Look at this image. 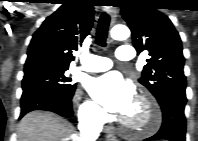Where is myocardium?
Masks as SVG:
<instances>
[{
	"instance_id": "f54148a6",
	"label": "myocardium",
	"mask_w": 198,
	"mask_h": 141,
	"mask_svg": "<svg viewBox=\"0 0 198 141\" xmlns=\"http://www.w3.org/2000/svg\"><path fill=\"white\" fill-rule=\"evenodd\" d=\"M136 103L144 108L145 122L134 124L128 118H121L120 122L124 128L135 133H148L156 130L160 123V113L155 102L146 95L138 96Z\"/></svg>"
}]
</instances>
